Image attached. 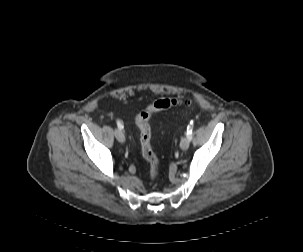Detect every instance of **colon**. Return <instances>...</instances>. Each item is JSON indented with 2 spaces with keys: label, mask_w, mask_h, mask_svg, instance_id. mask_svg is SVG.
<instances>
[{
  "label": "colon",
  "mask_w": 303,
  "mask_h": 252,
  "mask_svg": "<svg viewBox=\"0 0 303 252\" xmlns=\"http://www.w3.org/2000/svg\"><path fill=\"white\" fill-rule=\"evenodd\" d=\"M181 104H185L190 107L192 103L190 100H185L180 97L159 99L148 106L145 110L140 112L136 118V124L140 134L141 152L143 157L148 161L150 165V175L152 178L157 177L159 173L160 163L159 159L151 148V128L149 120L154 113Z\"/></svg>",
  "instance_id": "1"
}]
</instances>
